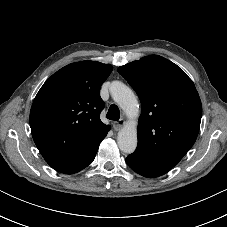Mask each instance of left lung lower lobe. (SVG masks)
Listing matches in <instances>:
<instances>
[{"label": "left lung lower lobe", "mask_w": 227, "mask_h": 227, "mask_svg": "<svg viewBox=\"0 0 227 227\" xmlns=\"http://www.w3.org/2000/svg\"><path fill=\"white\" fill-rule=\"evenodd\" d=\"M126 163L132 170L148 178H154V177L164 175L170 170L167 168L151 165L132 155H129L126 158Z\"/></svg>", "instance_id": "0a47b994"}]
</instances>
